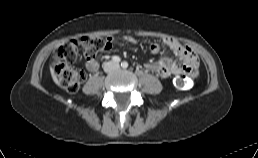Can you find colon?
Returning <instances> with one entry per match:
<instances>
[{
  "label": "colon",
  "mask_w": 258,
  "mask_h": 158,
  "mask_svg": "<svg viewBox=\"0 0 258 158\" xmlns=\"http://www.w3.org/2000/svg\"><path fill=\"white\" fill-rule=\"evenodd\" d=\"M110 37L84 36L65 40L54 53L53 71L60 84L68 92H76L82 84L85 75L76 70L73 64L80 58L82 51L87 58H93L100 51L112 46ZM176 86L181 90H187L190 86L189 79L181 77L176 80Z\"/></svg>",
  "instance_id": "5ec220e1"
}]
</instances>
